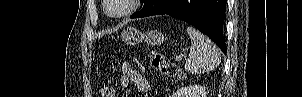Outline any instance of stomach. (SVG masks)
<instances>
[{"mask_svg": "<svg viewBox=\"0 0 302 97\" xmlns=\"http://www.w3.org/2000/svg\"><path fill=\"white\" fill-rule=\"evenodd\" d=\"M121 37L128 44L145 42L148 45L158 46L164 41V36L159 31L150 30L142 33L140 30L132 27L125 29Z\"/></svg>", "mask_w": 302, "mask_h": 97, "instance_id": "1", "label": "stomach"}]
</instances>
